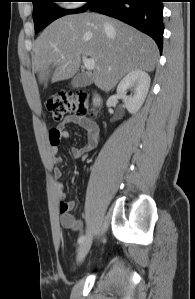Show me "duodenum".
<instances>
[{
    "label": "duodenum",
    "mask_w": 195,
    "mask_h": 299,
    "mask_svg": "<svg viewBox=\"0 0 195 299\" xmlns=\"http://www.w3.org/2000/svg\"><path fill=\"white\" fill-rule=\"evenodd\" d=\"M92 104H93L95 107L100 106V104H101V98H100L99 95H97V94H93V95H92Z\"/></svg>",
    "instance_id": "duodenum-1"
}]
</instances>
